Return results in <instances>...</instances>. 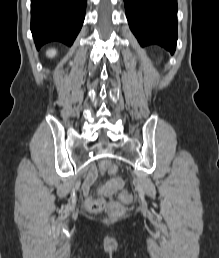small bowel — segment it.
Wrapping results in <instances>:
<instances>
[{"mask_svg":"<svg viewBox=\"0 0 219 258\" xmlns=\"http://www.w3.org/2000/svg\"><path fill=\"white\" fill-rule=\"evenodd\" d=\"M96 177V170H92L88 179L85 182V189H88L90 187V185L93 183V181L95 180ZM126 179H110L109 183L112 184L109 189L110 190H116L118 189L121 184H126Z\"/></svg>","mask_w":219,"mask_h":258,"instance_id":"obj_1","label":"small bowel"}]
</instances>
